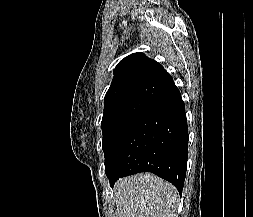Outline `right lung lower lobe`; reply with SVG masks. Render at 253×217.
<instances>
[{"label":"right lung lower lobe","mask_w":253,"mask_h":217,"mask_svg":"<svg viewBox=\"0 0 253 217\" xmlns=\"http://www.w3.org/2000/svg\"><path fill=\"white\" fill-rule=\"evenodd\" d=\"M185 105L172 85L151 101L115 146L105 173L111 187L124 176L152 172L171 182L181 193L188 156Z\"/></svg>","instance_id":"right-lung-lower-lobe-1"}]
</instances>
